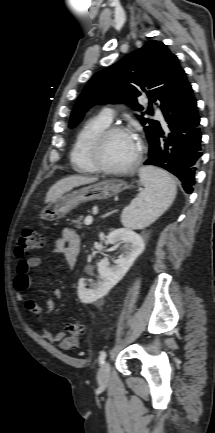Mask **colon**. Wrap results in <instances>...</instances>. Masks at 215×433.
<instances>
[{
  "instance_id": "1",
  "label": "colon",
  "mask_w": 215,
  "mask_h": 433,
  "mask_svg": "<svg viewBox=\"0 0 215 433\" xmlns=\"http://www.w3.org/2000/svg\"><path fill=\"white\" fill-rule=\"evenodd\" d=\"M43 245L41 233L32 226H25L20 230L16 255L19 258H25L27 254L38 249ZM68 333L71 337L78 338L85 334V326L82 323H71L67 326Z\"/></svg>"
}]
</instances>
